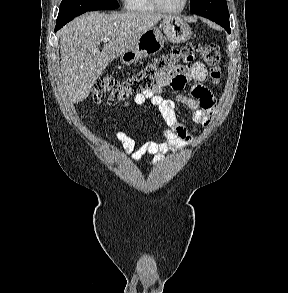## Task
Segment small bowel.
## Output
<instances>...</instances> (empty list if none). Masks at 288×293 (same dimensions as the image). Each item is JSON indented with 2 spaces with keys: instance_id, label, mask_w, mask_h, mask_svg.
<instances>
[{
  "instance_id": "obj_1",
  "label": "small bowel",
  "mask_w": 288,
  "mask_h": 293,
  "mask_svg": "<svg viewBox=\"0 0 288 293\" xmlns=\"http://www.w3.org/2000/svg\"><path fill=\"white\" fill-rule=\"evenodd\" d=\"M207 76L206 67L201 62L193 61V58L190 57L184 65L159 75L156 84L151 89L134 97L136 105L150 102L155 106L157 117L164 127L160 134L161 141H148L138 148H136L133 138L122 131L116 132V139L132 161H139L145 154L160 157L169 145L185 147L192 142L193 136L178 118L177 104H182L190 110L191 120L194 123L203 127L209 125L215 112L216 102L214 95L203 85ZM189 81L195 82L192 96L179 94L173 99L164 97V93L169 88L174 91H182Z\"/></svg>"
}]
</instances>
